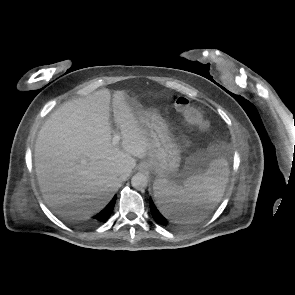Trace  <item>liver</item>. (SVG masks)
Returning a JSON list of instances; mask_svg holds the SVG:
<instances>
[{"mask_svg":"<svg viewBox=\"0 0 295 295\" xmlns=\"http://www.w3.org/2000/svg\"><path fill=\"white\" fill-rule=\"evenodd\" d=\"M111 92L101 89L64 103L39 131L35 170L44 200L64 216L86 218L103 209L130 175L136 158L149 155L150 139L139 126L125 91H115L113 116L120 145L112 143Z\"/></svg>","mask_w":295,"mask_h":295,"instance_id":"liver-1","label":"liver"}]
</instances>
